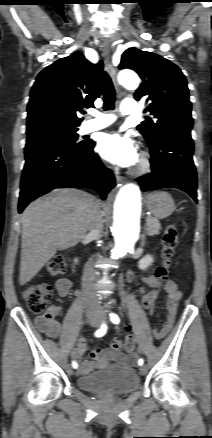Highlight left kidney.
I'll use <instances>...</instances> for the list:
<instances>
[{
  "label": "left kidney",
  "mask_w": 212,
  "mask_h": 438,
  "mask_svg": "<svg viewBox=\"0 0 212 438\" xmlns=\"http://www.w3.org/2000/svg\"><path fill=\"white\" fill-rule=\"evenodd\" d=\"M153 262L151 255H145L139 262L138 267L141 270H146Z\"/></svg>",
  "instance_id": "1"
}]
</instances>
